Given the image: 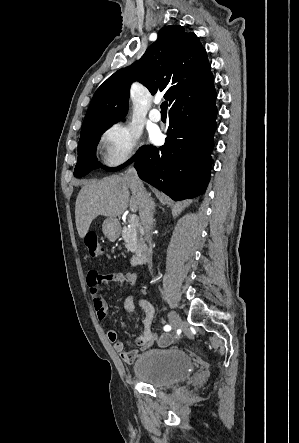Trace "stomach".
<instances>
[{
	"mask_svg": "<svg viewBox=\"0 0 299 443\" xmlns=\"http://www.w3.org/2000/svg\"><path fill=\"white\" fill-rule=\"evenodd\" d=\"M104 236L114 242L119 236V222L116 218H107L102 225Z\"/></svg>",
	"mask_w": 299,
	"mask_h": 443,
	"instance_id": "1",
	"label": "stomach"
}]
</instances>
